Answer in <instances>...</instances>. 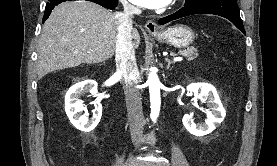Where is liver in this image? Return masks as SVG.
I'll list each match as a JSON object with an SVG mask.
<instances>
[{"instance_id": "6515ba94", "label": "liver", "mask_w": 277, "mask_h": 166, "mask_svg": "<svg viewBox=\"0 0 277 166\" xmlns=\"http://www.w3.org/2000/svg\"><path fill=\"white\" fill-rule=\"evenodd\" d=\"M115 13L102 6L78 0L56 6L45 21L38 43L37 75L85 64L104 62L114 55L118 34ZM133 47L140 36L131 31Z\"/></svg>"}]
</instances>
